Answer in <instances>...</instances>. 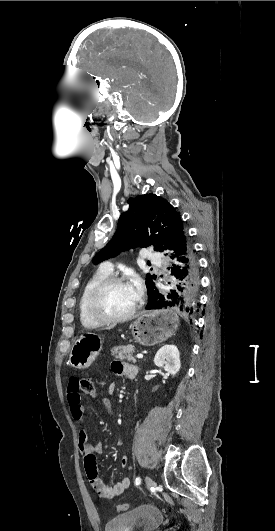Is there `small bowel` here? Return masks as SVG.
<instances>
[{"mask_svg": "<svg viewBox=\"0 0 275 531\" xmlns=\"http://www.w3.org/2000/svg\"><path fill=\"white\" fill-rule=\"evenodd\" d=\"M112 371L117 375H124L126 377H134L137 373V367L133 364L126 363L120 360H114L112 363ZM67 380L69 383H65L64 392L67 394V401L70 407V414L74 425L78 429V447L81 456L84 459V468L87 478L89 479L92 487L97 494L103 499H113L116 496L122 494L130 486V479L128 477H122L113 486H108L98 476L97 465L95 457L103 452V445L101 442L90 443L88 442V434L84 427L85 415L84 407L81 404L79 394L81 392L80 382L82 377L80 373H69ZM115 389V385L112 384L109 387V393H112ZM103 404L109 413H113V407L111 401L108 398L103 399ZM129 455L124 454L121 458V465L126 468L129 465Z\"/></svg>", "mask_w": 275, "mask_h": 531, "instance_id": "1", "label": "small bowel"}]
</instances>
